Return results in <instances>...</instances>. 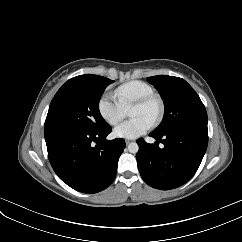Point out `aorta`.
<instances>
[{
    "instance_id": "obj_1",
    "label": "aorta",
    "mask_w": 242,
    "mask_h": 242,
    "mask_svg": "<svg viewBox=\"0 0 242 242\" xmlns=\"http://www.w3.org/2000/svg\"><path fill=\"white\" fill-rule=\"evenodd\" d=\"M139 150V146L136 142H132L128 145V151L132 154H136Z\"/></svg>"
}]
</instances>
